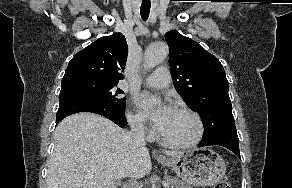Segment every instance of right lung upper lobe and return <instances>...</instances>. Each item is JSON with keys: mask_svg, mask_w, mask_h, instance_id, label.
Instances as JSON below:
<instances>
[{"mask_svg": "<svg viewBox=\"0 0 292 188\" xmlns=\"http://www.w3.org/2000/svg\"><path fill=\"white\" fill-rule=\"evenodd\" d=\"M128 47L121 33L105 36L79 51L70 60L62 80L96 78L116 82L123 79Z\"/></svg>", "mask_w": 292, "mask_h": 188, "instance_id": "obj_1", "label": "right lung upper lobe"}]
</instances>
